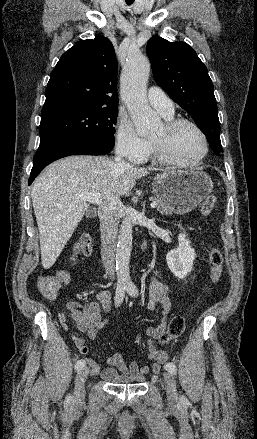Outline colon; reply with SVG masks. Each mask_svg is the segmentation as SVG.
I'll return each mask as SVG.
<instances>
[{
    "mask_svg": "<svg viewBox=\"0 0 257 439\" xmlns=\"http://www.w3.org/2000/svg\"><path fill=\"white\" fill-rule=\"evenodd\" d=\"M217 198L215 195L207 196L201 205V213L207 216L215 207ZM91 252V239L88 235H83L74 247L75 255H88ZM210 278L211 283H217L221 277L223 266V255L218 247H212L209 251ZM69 279L67 271H59L57 274L38 279L39 290L45 297H53L57 294L61 286ZM186 327L185 319L175 316L171 319L167 329L161 333L159 340L162 344H167L170 340L180 337Z\"/></svg>",
    "mask_w": 257,
    "mask_h": 439,
    "instance_id": "colon-1",
    "label": "colon"
}]
</instances>
